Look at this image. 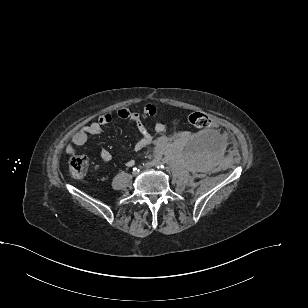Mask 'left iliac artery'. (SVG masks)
<instances>
[{"mask_svg":"<svg viewBox=\"0 0 308 308\" xmlns=\"http://www.w3.org/2000/svg\"><path fill=\"white\" fill-rule=\"evenodd\" d=\"M157 168H164V165H162L161 163L157 164Z\"/></svg>","mask_w":308,"mask_h":308,"instance_id":"44dca946","label":"left iliac artery"}]
</instances>
